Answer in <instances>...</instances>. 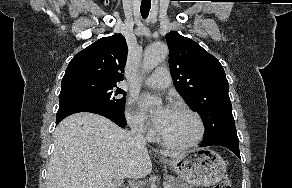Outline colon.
Returning a JSON list of instances; mask_svg holds the SVG:
<instances>
[{
    "label": "colon",
    "instance_id": "obj_1",
    "mask_svg": "<svg viewBox=\"0 0 292 188\" xmlns=\"http://www.w3.org/2000/svg\"><path fill=\"white\" fill-rule=\"evenodd\" d=\"M213 188H231V183L228 179L218 182Z\"/></svg>",
    "mask_w": 292,
    "mask_h": 188
}]
</instances>
